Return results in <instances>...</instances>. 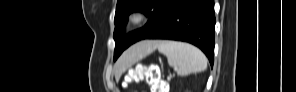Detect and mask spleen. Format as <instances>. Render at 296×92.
<instances>
[{
	"label": "spleen",
	"mask_w": 296,
	"mask_h": 92,
	"mask_svg": "<svg viewBox=\"0 0 296 92\" xmlns=\"http://www.w3.org/2000/svg\"><path fill=\"white\" fill-rule=\"evenodd\" d=\"M158 51L167 57L168 64L177 70L178 75L202 72L207 68L205 55L193 45L177 41H161Z\"/></svg>",
	"instance_id": "3e777b00"
}]
</instances>
